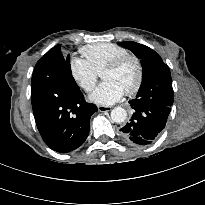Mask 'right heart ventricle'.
<instances>
[{"label":"right heart ventricle","instance_id":"obj_1","mask_svg":"<svg viewBox=\"0 0 205 205\" xmlns=\"http://www.w3.org/2000/svg\"><path fill=\"white\" fill-rule=\"evenodd\" d=\"M84 60L98 73L118 57L129 54V51L115 43H94L81 48Z\"/></svg>","mask_w":205,"mask_h":205}]
</instances>
